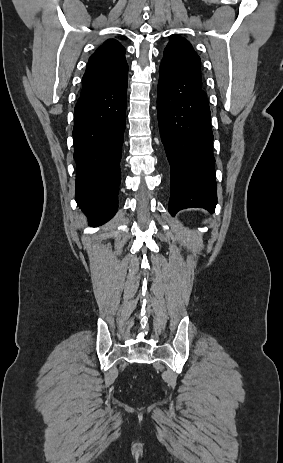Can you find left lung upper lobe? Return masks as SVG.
<instances>
[{
  "label": "left lung upper lobe",
  "instance_id": "1",
  "mask_svg": "<svg viewBox=\"0 0 283 463\" xmlns=\"http://www.w3.org/2000/svg\"><path fill=\"white\" fill-rule=\"evenodd\" d=\"M163 60L167 61L179 73L198 85H202L200 73V58L191 44L184 38L171 35L164 50Z\"/></svg>",
  "mask_w": 283,
  "mask_h": 463
}]
</instances>
